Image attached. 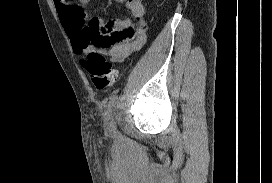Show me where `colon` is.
Listing matches in <instances>:
<instances>
[{
  "label": "colon",
  "instance_id": "5ec220e1",
  "mask_svg": "<svg viewBox=\"0 0 272 183\" xmlns=\"http://www.w3.org/2000/svg\"><path fill=\"white\" fill-rule=\"evenodd\" d=\"M82 66L86 69L98 90L112 86L118 76L117 69L98 52L88 53L82 60Z\"/></svg>",
  "mask_w": 272,
  "mask_h": 183
}]
</instances>
